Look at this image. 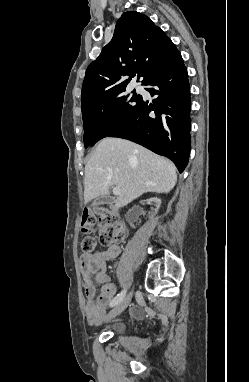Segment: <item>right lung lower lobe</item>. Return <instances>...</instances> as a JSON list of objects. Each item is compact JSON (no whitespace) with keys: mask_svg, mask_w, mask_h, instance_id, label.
I'll use <instances>...</instances> for the list:
<instances>
[{"mask_svg":"<svg viewBox=\"0 0 249 382\" xmlns=\"http://www.w3.org/2000/svg\"><path fill=\"white\" fill-rule=\"evenodd\" d=\"M144 85L153 104L142 98L133 118L109 137H119L138 143L151 151L170 158L182 173L190 150V86L181 55L150 75Z\"/></svg>","mask_w":249,"mask_h":382,"instance_id":"98d812e1","label":"right lung lower lobe"}]
</instances>
